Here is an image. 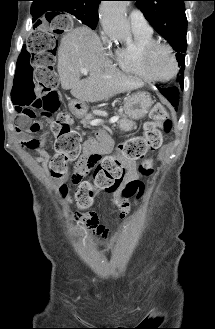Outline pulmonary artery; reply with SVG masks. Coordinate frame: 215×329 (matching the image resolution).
<instances>
[{
    "label": "pulmonary artery",
    "instance_id": "1",
    "mask_svg": "<svg viewBox=\"0 0 215 329\" xmlns=\"http://www.w3.org/2000/svg\"><path fill=\"white\" fill-rule=\"evenodd\" d=\"M129 21L133 32L152 33V28L139 9L131 10Z\"/></svg>",
    "mask_w": 215,
    "mask_h": 329
}]
</instances>
